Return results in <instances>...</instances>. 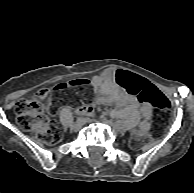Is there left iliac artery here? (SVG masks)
Listing matches in <instances>:
<instances>
[{"mask_svg":"<svg viewBox=\"0 0 194 193\" xmlns=\"http://www.w3.org/2000/svg\"><path fill=\"white\" fill-rule=\"evenodd\" d=\"M119 124H122L123 122L122 121H118Z\"/></svg>","mask_w":194,"mask_h":193,"instance_id":"obj_1","label":"left iliac artery"}]
</instances>
